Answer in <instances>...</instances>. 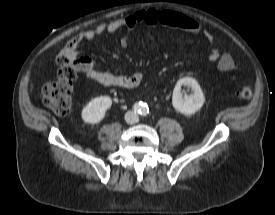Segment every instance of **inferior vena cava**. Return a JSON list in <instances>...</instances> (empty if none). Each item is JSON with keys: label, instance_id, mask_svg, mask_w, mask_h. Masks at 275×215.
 Here are the masks:
<instances>
[{"label": "inferior vena cava", "instance_id": "obj_1", "mask_svg": "<svg viewBox=\"0 0 275 215\" xmlns=\"http://www.w3.org/2000/svg\"><path fill=\"white\" fill-rule=\"evenodd\" d=\"M125 121L128 124H134V123L138 122V115H137V113L133 112V111L126 112V114H125Z\"/></svg>", "mask_w": 275, "mask_h": 215}]
</instances>
